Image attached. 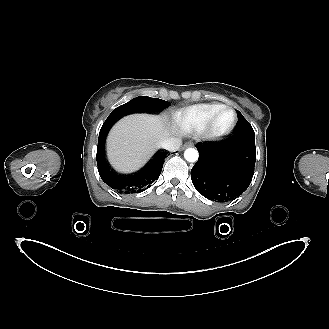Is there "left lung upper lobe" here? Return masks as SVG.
<instances>
[{"label":"left lung upper lobe","mask_w":329,"mask_h":329,"mask_svg":"<svg viewBox=\"0 0 329 329\" xmlns=\"http://www.w3.org/2000/svg\"><path fill=\"white\" fill-rule=\"evenodd\" d=\"M237 115H238V124H237L236 130L234 131V134L254 133L252 126L249 124V122L243 117V115L239 111H237Z\"/></svg>","instance_id":"5c2ea615"}]
</instances>
